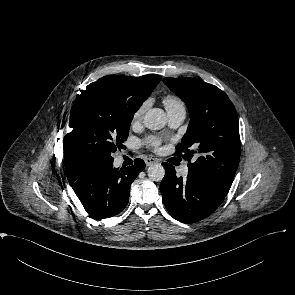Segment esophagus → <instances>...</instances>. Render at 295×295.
<instances>
[{"instance_id": "obj_1", "label": "esophagus", "mask_w": 295, "mask_h": 295, "mask_svg": "<svg viewBox=\"0 0 295 295\" xmlns=\"http://www.w3.org/2000/svg\"><path fill=\"white\" fill-rule=\"evenodd\" d=\"M156 162H158V160L156 158H153V157H146L145 158V163L147 166L152 165Z\"/></svg>"}]
</instances>
